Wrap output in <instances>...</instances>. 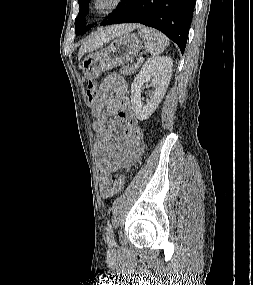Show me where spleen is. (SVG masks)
<instances>
[{"mask_svg": "<svg viewBox=\"0 0 253 285\" xmlns=\"http://www.w3.org/2000/svg\"><path fill=\"white\" fill-rule=\"evenodd\" d=\"M138 34L144 40L145 50L153 55H159L169 45V39L161 32L144 26H138Z\"/></svg>", "mask_w": 253, "mask_h": 285, "instance_id": "spleen-1", "label": "spleen"}]
</instances>
